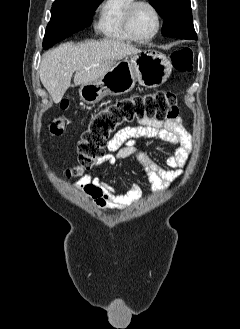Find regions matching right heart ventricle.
<instances>
[{
	"label": "right heart ventricle",
	"instance_id": "right-heart-ventricle-1",
	"mask_svg": "<svg viewBox=\"0 0 240 329\" xmlns=\"http://www.w3.org/2000/svg\"><path fill=\"white\" fill-rule=\"evenodd\" d=\"M134 0H105L99 10L97 30L107 39L117 42L134 41L125 31L124 18Z\"/></svg>",
	"mask_w": 240,
	"mask_h": 329
}]
</instances>
